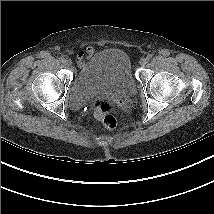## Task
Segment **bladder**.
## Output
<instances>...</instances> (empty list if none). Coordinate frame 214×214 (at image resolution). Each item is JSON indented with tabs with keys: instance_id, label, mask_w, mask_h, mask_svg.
I'll list each match as a JSON object with an SVG mask.
<instances>
[{
	"instance_id": "1",
	"label": "bladder",
	"mask_w": 214,
	"mask_h": 214,
	"mask_svg": "<svg viewBox=\"0 0 214 214\" xmlns=\"http://www.w3.org/2000/svg\"><path fill=\"white\" fill-rule=\"evenodd\" d=\"M135 89L129 57L119 49L109 48L80 67L71 83L69 99L71 103H81L95 93L125 98Z\"/></svg>"
}]
</instances>
